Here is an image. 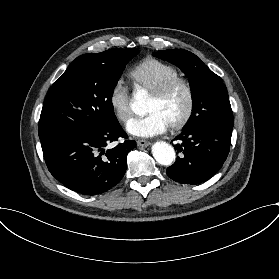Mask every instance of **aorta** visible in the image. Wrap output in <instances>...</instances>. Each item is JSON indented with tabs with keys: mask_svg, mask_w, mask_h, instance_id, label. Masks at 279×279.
I'll return each mask as SVG.
<instances>
[{
	"mask_svg": "<svg viewBox=\"0 0 279 279\" xmlns=\"http://www.w3.org/2000/svg\"><path fill=\"white\" fill-rule=\"evenodd\" d=\"M131 108L134 113L141 115L146 112V100L141 93L135 95L133 102H131ZM152 154L155 160L165 166H170L176 157L174 148L163 141H159L153 144Z\"/></svg>",
	"mask_w": 279,
	"mask_h": 279,
	"instance_id": "1",
	"label": "aorta"
}]
</instances>
